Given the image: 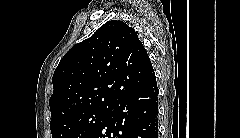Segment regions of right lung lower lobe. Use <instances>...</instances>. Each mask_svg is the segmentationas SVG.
Masks as SVG:
<instances>
[{
    "instance_id": "right-lung-lower-lobe-1",
    "label": "right lung lower lobe",
    "mask_w": 240,
    "mask_h": 138,
    "mask_svg": "<svg viewBox=\"0 0 240 138\" xmlns=\"http://www.w3.org/2000/svg\"><path fill=\"white\" fill-rule=\"evenodd\" d=\"M158 87L155 76L108 107L92 138H158Z\"/></svg>"
}]
</instances>
